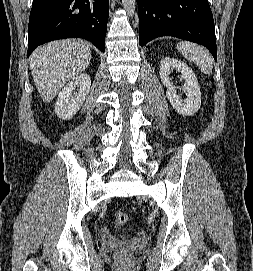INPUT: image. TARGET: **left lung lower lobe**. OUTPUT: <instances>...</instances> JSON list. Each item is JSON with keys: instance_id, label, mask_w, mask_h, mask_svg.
<instances>
[{"instance_id": "obj_1", "label": "left lung lower lobe", "mask_w": 253, "mask_h": 271, "mask_svg": "<svg viewBox=\"0 0 253 271\" xmlns=\"http://www.w3.org/2000/svg\"><path fill=\"white\" fill-rule=\"evenodd\" d=\"M139 44L173 36L201 44L217 60L214 20L208 0H137Z\"/></svg>"}]
</instances>
